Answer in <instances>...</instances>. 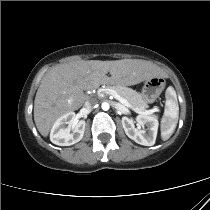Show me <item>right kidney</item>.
Returning a JSON list of instances; mask_svg holds the SVG:
<instances>
[{"mask_svg":"<svg viewBox=\"0 0 210 210\" xmlns=\"http://www.w3.org/2000/svg\"><path fill=\"white\" fill-rule=\"evenodd\" d=\"M85 121L76 119L74 112H68L58 118L50 133V140L59 146H70L79 142L84 135Z\"/></svg>","mask_w":210,"mask_h":210,"instance_id":"obj_1","label":"right kidney"}]
</instances>
